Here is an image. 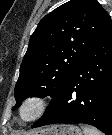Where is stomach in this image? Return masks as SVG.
I'll use <instances>...</instances> for the list:
<instances>
[{
	"mask_svg": "<svg viewBox=\"0 0 112 135\" xmlns=\"http://www.w3.org/2000/svg\"><path fill=\"white\" fill-rule=\"evenodd\" d=\"M31 135H82V131L73 125H58L44 129L43 134L38 132Z\"/></svg>",
	"mask_w": 112,
	"mask_h": 135,
	"instance_id": "obj_1",
	"label": "stomach"
}]
</instances>
